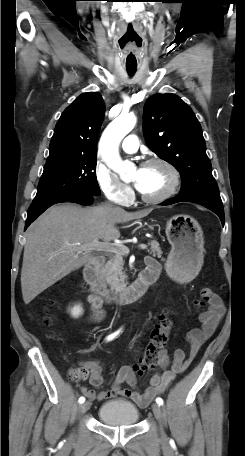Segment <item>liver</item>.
<instances>
[{
    "mask_svg": "<svg viewBox=\"0 0 245 456\" xmlns=\"http://www.w3.org/2000/svg\"><path fill=\"white\" fill-rule=\"evenodd\" d=\"M151 211L127 212L110 205L83 208L59 204L49 208L27 229L21 270L25 304L93 259L73 244L85 246L96 238L109 243L120 237L116 223L141 219Z\"/></svg>",
    "mask_w": 245,
    "mask_h": 456,
    "instance_id": "6515ba94",
    "label": "liver"
}]
</instances>
